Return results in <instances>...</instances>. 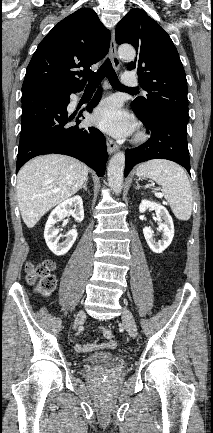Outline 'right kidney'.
<instances>
[{
    "mask_svg": "<svg viewBox=\"0 0 213 433\" xmlns=\"http://www.w3.org/2000/svg\"><path fill=\"white\" fill-rule=\"evenodd\" d=\"M68 214L77 222L84 219L83 201L80 196H74L59 204L50 214L45 225L44 238L49 249L57 256L65 255L73 246L77 238V230L72 229L66 235V240L59 242V229L55 227L57 221L64 219Z\"/></svg>",
    "mask_w": 213,
    "mask_h": 433,
    "instance_id": "obj_1",
    "label": "right kidney"
}]
</instances>
